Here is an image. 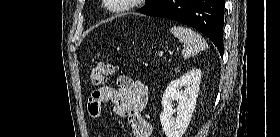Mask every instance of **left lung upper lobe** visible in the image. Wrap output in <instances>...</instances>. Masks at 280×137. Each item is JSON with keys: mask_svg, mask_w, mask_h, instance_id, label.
<instances>
[{"mask_svg": "<svg viewBox=\"0 0 280 137\" xmlns=\"http://www.w3.org/2000/svg\"><path fill=\"white\" fill-rule=\"evenodd\" d=\"M162 1L163 0H149V1H147L146 5L143 8L138 9V11L141 13L149 11L152 8H154L155 6H157L159 3H161Z\"/></svg>", "mask_w": 280, "mask_h": 137, "instance_id": "obj_1", "label": "left lung upper lobe"}]
</instances>
